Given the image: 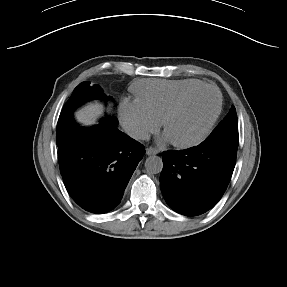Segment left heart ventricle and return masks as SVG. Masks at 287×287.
<instances>
[{
    "label": "left heart ventricle",
    "mask_w": 287,
    "mask_h": 287,
    "mask_svg": "<svg viewBox=\"0 0 287 287\" xmlns=\"http://www.w3.org/2000/svg\"><path fill=\"white\" fill-rule=\"evenodd\" d=\"M216 103V94L209 89L191 95L177 116L169 123L167 136L173 141H186L197 136L211 118Z\"/></svg>",
    "instance_id": "b2bd125f"
}]
</instances>
